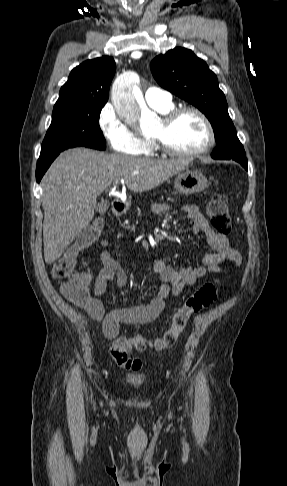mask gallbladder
<instances>
[{"mask_svg":"<svg viewBox=\"0 0 287 486\" xmlns=\"http://www.w3.org/2000/svg\"><path fill=\"white\" fill-rule=\"evenodd\" d=\"M108 209L107 203L101 202L97 205L96 211L98 213H104Z\"/></svg>","mask_w":287,"mask_h":486,"instance_id":"gallbladder-1","label":"gallbladder"}]
</instances>
